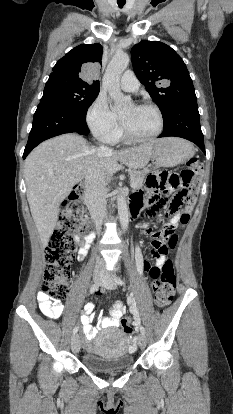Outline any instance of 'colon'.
Here are the masks:
<instances>
[{
  "mask_svg": "<svg viewBox=\"0 0 233 414\" xmlns=\"http://www.w3.org/2000/svg\"><path fill=\"white\" fill-rule=\"evenodd\" d=\"M202 163L192 158L187 163V168L180 174L166 170H158L149 174L146 178V190L153 196L151 201L158 200L160 194H173L170 211L177 212L181 207L185 211L181 214L180 223L186 224L190 219V210L196 201V189L199 177L202 175ZM85 195L83 185H76L70 192L65 207L60 212L58 223L53 230L45 251L46 268L42 282V291L52 298H61L66 295L67 282L72 273L74 261L75 242L70 230L78 233L88 232L90 223L83 217L81 200ZM165 200L160 199L154 206V210L164 205ZM165 242L156 240L153 242V255L158 258L173 250L178 241L175 234L165 231ZM149 274L154 279L155 304L159 308L167 307L174 296L177 277L171 260H165L161 268L152 266ZM122 330L130 335L133 331L128 319L122 320Z\"/></svg>",
  "mask_w": 233,
  "mask_h": 414,
  "instance_id": "colon-1",
  "label": "colon"
}]
</instances>
